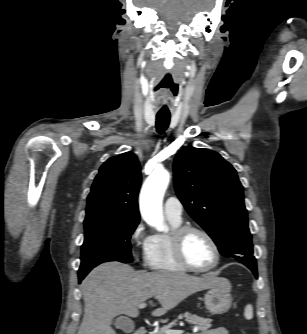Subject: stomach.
Instances as JSON below:
<instances>
[{
  "mask_svg": "<svg viewBox=\"0 0 307 334\" xmlns=\"http://www.w3.org/2000/svg\"><path fill=\"white\" fill-rule=\"evenodd\" d=\"M231 284L225 278H218V285L212 287L204 296L207 310L212 314H224L232 305Z\"/></svg>",
  "mask_w": 307,
  "mask_h": 334,
  "instance_id": "1",
  "label": "stomach"
}]
</instances>
